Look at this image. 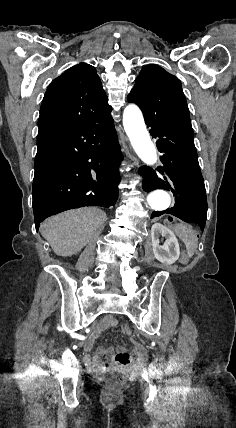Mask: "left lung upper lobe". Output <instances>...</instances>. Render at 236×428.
Segmentation results:
<instances>
[{"mask_svg": "<svg viewBox=\"0 0 236 428\" xmlns=\"http://www.w3.org/2000/svg\"><path fill=\"white\" fill-rule=\"evenodd\" d=\"M127 99L140 107L146 121L168 122L193 135L181 82L163 68H142Z\"/></svg>", "mask_w": 236, "mask_h": 428, "instance_id": "1", "label": "left lung upper lobe"}]
</instances>
